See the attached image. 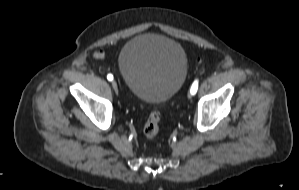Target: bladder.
Masks as SVG:
<instances>
[{
    "mask_svg": "<svg viewBox=\"0 0 299 190\" xmlns=\"http://www.w3.org/2000/svg\"><path fill=\"white\" fill-rule=\"evenodd\" d=\"M120 74L140 100L161 103L172 98L187 75V56L177 41L154 34H141L122 48Z\"/></svg>",
    "mask_w": 299,
    "mask_h": 190,
    "instance_id": "obj_1",
    "label": "bladder"
}]
</instances>
